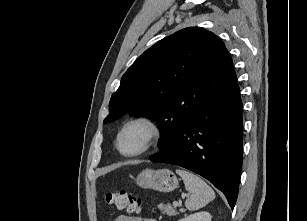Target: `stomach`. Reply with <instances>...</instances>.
<instances>
[{
  "label": "stomach",
  "mask_w": 307,
  "mask_h": 221,
  "mask_svg": "<svg viewBox=\"0 0 307 221\" xmlns=\"http://www.w3.org/2000/svg\"><path fill=\"white\" fill-rule=\"evenodd\" d=\"M134 180L142 188H151L160 192H171L179 186V180L168 169L153 170L146 168Z\"/></svg>",
  "instance_id": "stomach-1"
}]
</instances>
